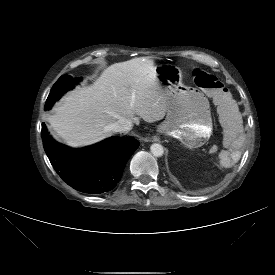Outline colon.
<instances>
[{"mask_svg": "<svg viewBox=\"0 0 275 275\" xmlns=\"http://www.w3.org/2000/svg\"><path fill=\"white\" fill-rule=\"evenodd\" d=\"M193 79L195 84L208 93L217 105L227 102L228 91L216 76L200 68H195L193 70Z\"/></svg>", "mask_w": 275, "mask_h": 275, "instance_id": "5ec220e1", "label": "colon"}]
</instances>
